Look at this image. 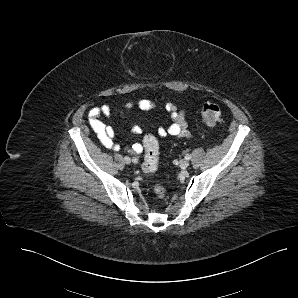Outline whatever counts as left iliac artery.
I'll return each mask as SVG.
<instances>
[{"mask_svg":"<svg viewBox=\"0 0 298 298\" xmlns=\"http://www.w3.org/2000/svg\"><path fill=\"white\" fill-rule=\"evenodd\" d=\"M185 159H187V160L191 159V155H190V154H187V155L185 156Z\"/></svg>","mask_w":298,"mask_h":298,"instance_id":"44dca946","label":"left iliac artery"}]
</instances>
